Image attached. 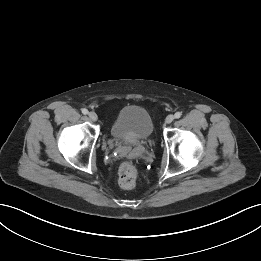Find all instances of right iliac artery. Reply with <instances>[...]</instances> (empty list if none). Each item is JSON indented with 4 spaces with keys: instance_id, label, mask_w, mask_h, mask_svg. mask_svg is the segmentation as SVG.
<instances>
[{
    "instance_id": "1",
    "label": "right iliac artery",
    "mask_w": 261,
    "mask_h": 261,
    "mask_svg": "<svg viewBox=\"0 0 261 261\" xmlns=\"http://www.w3.org/2000/svg\"><path fill=\"white\" fill-rule=\"evenodd\" d=\"M82 113L84 114V115H86V114H88V110L87 109H82Z\"/></svg>"
}]
</instances>
